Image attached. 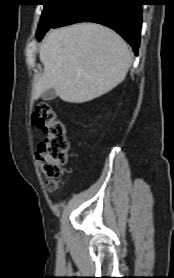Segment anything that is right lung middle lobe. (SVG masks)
<instances>
[{
    "label": "right lung middle lobe",
    "mask_w": 174,
    "mask_h": 278,
    "mask_svg": "<svg viewBox=\"0 0 174 278\" xmlns=\"http://www.w3.org/2000/svg\"><path fill=\"white\" fill-rule=\"evenodd\" d=\"M75 0H41L44 10L39 22L37 34L48 31Z\"/></svg>",
    "instance_id": "1"
}]
</instances>
